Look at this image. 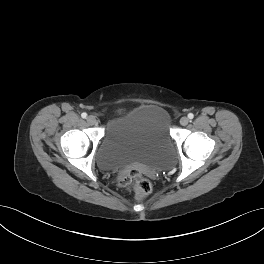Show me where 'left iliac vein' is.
Here are the masks:
<instances>
[{
  "label": "left iliac vein",
  "instance_id": "1",
  "mask_svg": "<svg viewBox=\"0 0 264 264\" xmlns=\"http://www.w3.org/2000/svg\"><path fill=\"white\" fill-rule=\"evenodd\" d=\"M180 124L182 125V126H186L187 124H188V122H189V119L187 118V117H182L181 119H180Z\"/></svg>",
  "mask_w": 264,
  "mask_h": 264
}]
</instances>
